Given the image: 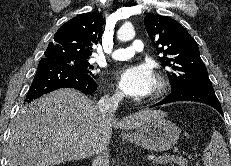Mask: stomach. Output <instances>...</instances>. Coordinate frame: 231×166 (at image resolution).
Segmentation results:
<instances>
[{
    "instance_id": "0dacf381",
    "label": "stomach",
    "mask_w": 231,
    "mask_h": 166,
    "mask_svg": "<svg viewBox=\"0 0 231 166\" xmlns=\"http://www.w3.org/2000/svg\"><path fill=\"white\" fill-rule=\"evenodd\" d=\"M179 129L166 115H157L140 126L137 131L126 139L150 151H167L171 149L179 138Z\"/></svg>"
}]
</instances>
